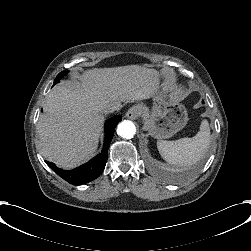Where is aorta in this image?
Here are the masks:
<instances>
[{
	"mask_svg": "<svg viewBox=\"0 0 251 251\" xmlns=\"http://www.w3.org/2000/svg\"><path fill=\"white\" fill-rule=\"evenodd\" d=\"M117 134L122 138H132L135 135V124L130 120H124L117 126Z\"/></svg>",
	"mask_w": 251,
	"mask_h": 251,
	"instance_id": "obj_1",
	"label": "aorta"
}]
</instances>
